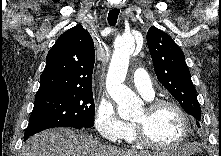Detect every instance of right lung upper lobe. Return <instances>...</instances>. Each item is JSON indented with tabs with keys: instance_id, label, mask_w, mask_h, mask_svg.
<instances>
[{
	"instance_id": "obj_1",
	"label": "right lung upper lobe",
	"mask_w": 221,
	"mask_h": 156,
	"mask_svg": "<svg viewBox=\"0 0 221 156\" xmlns=\"http://www.w3.org/2000/svg\"><path fill=\"white\" fill-rule=\"evenodd\" d=\"M94 42L80 24L63 33L49 50L36 98L92 89Z\"/></svg>"
}]
</instances>
